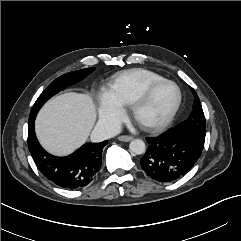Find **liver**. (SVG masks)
Here are the masks:
<instances>
[{
  "mask_svg": "<svg viewBox=\"0 0 241 241\" xmlns=\"http://www.w3.org/2000/svg\"><path fill=\"white\" fill-rule=\"evenodd\" d=\"M95 120L91 97L70 92L53 97L43 106L36 118L35 131L48 152L64 156L87 141Z\"/></svg>",
  "mask_w": 241,
  "mask_h": 241,
  "instance_id": "liver-1",
  "label": "liver"
}]
</instances>
